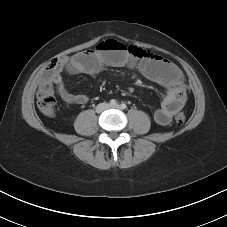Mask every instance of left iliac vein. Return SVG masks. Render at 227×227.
<instances>
[{"mask_svg": "<svg viewBox=\"0 0 227 227\" xmlns=\"http://www.w3.org/2000/svg\"><path fill=\"white\" fill-rule=\"evenodd\" d=\"M110 108L120 109L121 107H120V105L116 104L114 106L111 105Z\"/></svg>", "mask_w": 227, "mask_h": 227, "instance_id": "left-iliac-vein-1", "label": "left iliac vein"}]
</instances>
